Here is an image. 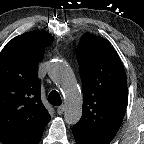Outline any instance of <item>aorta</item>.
Segmentation results:
<instances>
[{
	"label": "aorta",
	"instance_id": "obj_1",
	"mask_svg": "<svg viewBox=\"0 0 144 144\" xmlns=\"http://www.w3.org/2000/svg\"><path fill=\"white\" fill-rule=\"evenodd\" d=\"M48 75L61 88L66 105L65 122L70 125L76 124L82 116V97L72 69L66 62L57 60L49 66Z\"/></svg>",
	"mask_w": 144,
	"mask_h": 144
}]
</instances>
